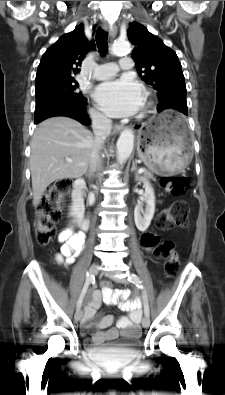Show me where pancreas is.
<instances>
[{"label":"pancreas","instance_id":"obj_1","mask_svg":"<svg viewBox=\"0 0 225 395\" xmlns=\"http://www.w3.org/2000/svg\"><path fill=\"white\" fill-rule=\"evenodd\" d=\"M145 178L153 179V174L150 171L145 170L143 173Z\"/></svg>","mask_w":225,"mask_h":395}]
</instances>
